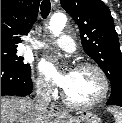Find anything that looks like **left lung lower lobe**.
I'll list each match as a JSON object with an SVG mask.
<instances>
[{
	"instance_id": "0a47b994",
	"label": "left lung lower lobe",
	"mask_w": 122,
	"mask_h": 123,
	"mask_svg": "<svg viewBox=\"0 0 122 123\" xmlns=\"http://www.w3.org/2000/svg\"><path fill=\"white\" fill-rule=\"evenodd\" d=\"M106 104L122 107V88L112 91L111 96Z\"/></svg>"
}]
</instances>
